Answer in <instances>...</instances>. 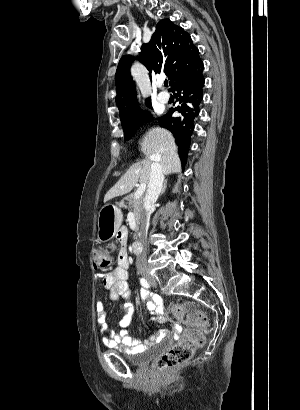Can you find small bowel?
I'll return each instance as SVG.
<instances>
[{"mask_svg": "<svg viewBox=\"0 0 300 410\" xmlns=\"http://www.w3.org/2000/svg\"><path fill=\"white\" fill-rule=\"evenodd\" d=\"M118 239L122 247L118 253L117 267L111 272L104 274L101 279L103 287L110 292V297L113 301L122 299V317L119 320V330L116 332L111 330L106 322V305L102 301H98L96 303V310L100 327L99 333L105 346L127 353H137L142 351L146 346L160 341L166 335L167 331L160 329L144 341L131 335L128 326L132 319L134 308L131 303L132 293L128 283L129 255L125 247L127 236L124 232H121ZM140 296L150 313L151 321L165 323L167 316L162 308L161 297L144 289L140 291Z\"/></svg>", "mask_w": 300, "mask_h": 410, "instance_id": "1", "label": "small bowel"}]
</instances>
